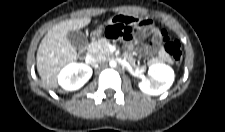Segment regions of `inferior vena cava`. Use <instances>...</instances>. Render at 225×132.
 <instances>
[{"mask_svg": "<svg viewBox=\"0 0 225 132\" xmlns=\"http://www.w3.org/2000/svg\"><path fill=\"white\" fill-rule=\"evenodd\" d=\"M91 62H92L93 65L101 64V63L105 62V57H103L101 55H94L92 57Z\"/></svg>", "mask_w": 225, "mask_h": 132, "instance_id": "inferior-vena-cava-1", "label": "inferior vena cava"}]
</instances>
